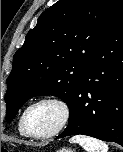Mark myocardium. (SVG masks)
Returning <instances> with one entry per match:
<instances>
[{"label": "myocardium", "instance_id": "f54148a6", "mask_svg": "<svg viewBox=\"0 0 123 152\" xmlns=\"http://www.w3.org/2000/svg\"><path fill=\"white\" fill-rule=\"evenodd\" d=\"M41 103L56 104L61 110L62 118H61V121L58 124V126L51 132H48L46 134H35V133L31 132L27 126V122H26L27 115L34 106L41 104ZM70 117H71V110H70L69 104L63 98L56 96V95H46V96L36 99L35 101H33L31 104H29L25 108V110L23 111L22 116H21V124H22V128H23L24 132L27 134V136L35 138V139H48V138H52V137L58 135L60 132H62L65 129V127L67 126V124L69 123Z\"/></svg>", "mask_w": 123, "mask_h": 152}]
</instances>
